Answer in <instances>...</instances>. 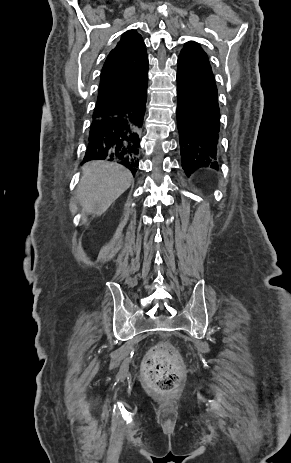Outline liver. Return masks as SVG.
I'll use <instances>...</instances> for the list:
<instances>
[{
    "mask_svg": "<svg viewBox=\"0 0 291 463\" xmlns=\"http://www.w3.org/2000/svg\"><path fill=\"white\" fill-rule=\"evenodd\" d=\"M82 172L76 195L82 211L96 216H101L133 181L129 170L106 161H91Z\"/></svg>",
    "mask_w": 291,
    "mask_h": 463,
    "instance_id": "liver-1",
    "label": "liver"
}]
</instances>
